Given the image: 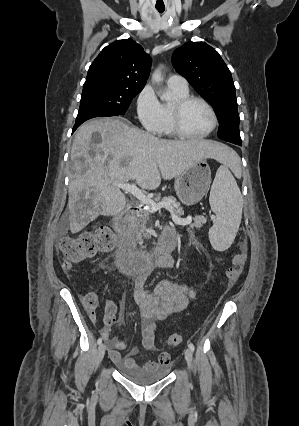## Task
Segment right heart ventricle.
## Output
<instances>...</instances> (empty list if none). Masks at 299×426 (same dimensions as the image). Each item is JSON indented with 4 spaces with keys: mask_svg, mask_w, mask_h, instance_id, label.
Returning a JSON list of instances; mask_svg holds the SVG:
<instances>
[{
    "mask_svg": "<svg viewBox=\"0 0 299 426\" xmlns=\"http://www.w3.org/2000/svg\"><path fill=\"white\" fill-rule=\"evenodd\" d=\"M169 88L172 91L175 100L189 95L188 89L187 90H179V89H176V88H173V87H169ZM172 104H173V102H168V103L162 104L163 125H162L161 133L168 135V136H173V135L176 134L174 129H173L172 119H171Z\"/></svg>",
    "mask_w": 299,
    "mask_h": 426,
    "instance_id": "obj_1",
    "label": "right heart ventricle"
}]
</instances>
